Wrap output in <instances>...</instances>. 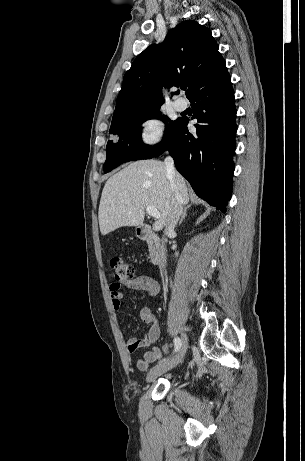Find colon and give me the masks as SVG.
Wrapping results in <instances>:
<instances>
[{"label":"colon","mask_w":305,"mask_h":461,"mask_svg":"<svg viewBox=\"0 0 305 461\" xmlns=\"http://www.w3.org/2000/svg\"><path fill=\"white\" fill-rule=\"evenodd\" d=\"M110 268L113 277L117 281H127L135 276V268L121 257H113L110 260Z\"/></svg>","instance_id":"obj_1"}]
</instances>
